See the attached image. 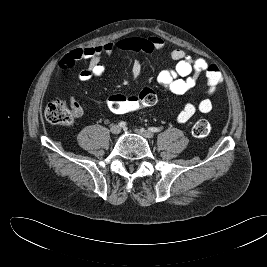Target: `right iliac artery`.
<instances>
[{"label": "right iliac artery", "mask_w": 267, "mask_h": 267, "mask_svg": "<svg viewBox=\"0 0 267 267\" xmlns=\"http://www.w3.org/2000/svg\"><path fill=\"white\" fill-rule=\"evenodd\" d=\"M119 126H120V127H125V126H126V122L121 121V122L119 123Z\"/></svg>", "instance_id": "82829eb1"}]
</instances>
